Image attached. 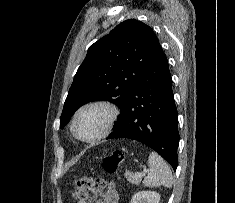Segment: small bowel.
<instances>
[{
  "instance_id": "small-bowel-1",
  "label": "small bowel",
  "mask_w": 235,
  "mask_h": 203,
  "mask_svg": "<svg viewBox=\"0 0 235 203\" xmlns=\"http://www.w3.org/2000/svg\"><path fill=\"white\" fill-rule=\"evenodd\" d=\"M119 201V194L118 191L113 183H110L104 194L101 198L97 199L95 203H118Z\"/></svg>"
}]
</instances>
